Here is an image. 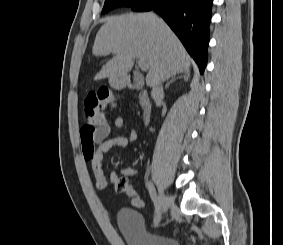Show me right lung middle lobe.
<instances>
[{"label": "right lung middle lobe", "mask_w": 283, "mask_h": 245, "mask_svg": "<svg viewBox=\"0 0 283 245\" xmlns=\"http://www.w3.org/2000/svg\"><path fill=\"white\" fill-rule=\"evenodd\" d=\"M142 0H105L102 13H106L117 7H133Z\"/></svg>", "instance_id": "obj_1"}]
</instances>
